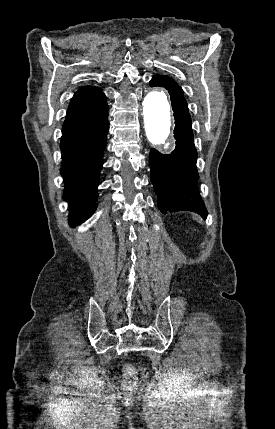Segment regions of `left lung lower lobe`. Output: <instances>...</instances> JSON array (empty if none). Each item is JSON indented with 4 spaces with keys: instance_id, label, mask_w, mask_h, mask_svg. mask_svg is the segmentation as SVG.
<instances>
[{
    "instance_id": "left-lung-lower-lobe-1",
    "label": "left lung lower lobe",
    "mask_w": 275,
    "mask_h": 429,
    "mask_svg": "<svg viewBox=\"0 0 275 429\" xmlns=\"http://www.w3.org/2000/svg\"><path fill=\"white\" fill-rule=\"evenodd\" d=\"M150 86H161L169 91L174 111L176 148L171 154L150 151L151 182L158 195V207L167 211H193L207 216L201 200L197 180L199 178L194 146L192 122L182 88L170 77L155 75Z\"/></svg>"
}]
</instances>
